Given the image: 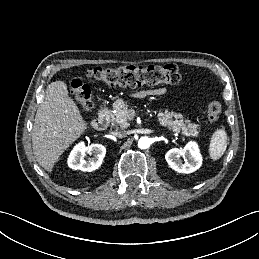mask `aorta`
Segmentation results:
<instances>
[{
	"label": "aorta",
	"instance_id": "762f6f07",
	"mask_svg": "<svg viewBox=\"0 0 259 259\" xmlns=\"http://www.w3.org/2000/svg\"><path fill=\"white\" fill-rule=\"evenodd\" d=\"M151 144V140L149 137H141L139 140H138V147L140 149H147Z\"/></svg>",
	"mask_w": 259,
	"mask_h": 259
}]
</instances>
